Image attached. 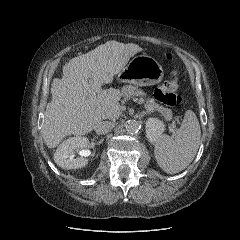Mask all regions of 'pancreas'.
I'll list each match as a JSON object with an SVG mask.
<instances>
[{
	"instance_id": "cf45deb5",
	"label": "pancreas",
	"mask_w": 240,
	"mask_h": 240,
	"mask_svg": "<svg viewBox=\"0 0 240 240\" xmlns=\"http://www.w3.org/2000/svg\"><path fill=\"white\" fill-rule=\"evenodd\" d=\"M121 94L125 99H129L133 96H143L145 97V93L138 89L137 87H134L132 85H126L121 89ZM147 104L150 105L154 110L160 112L164 118L167 121H170L172 119V111L169 108H165L163 106H160L154 100H147Z\"/></svg>"
}]
</instances>
